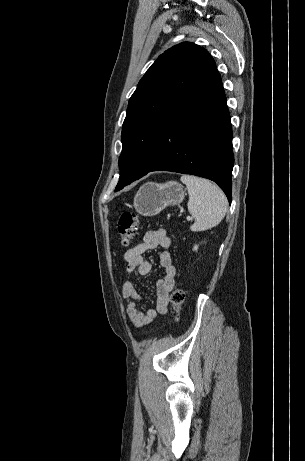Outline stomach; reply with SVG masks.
<instances>
[{
  "label": "stomach",
  "mask_w": 305,
  "mask_h": 461,
  "mask_svg": "<svg viewBox=\"0 0 305 461\" xmlns=\"http://www.w3.org/2000/svg\"><path fill=\"white\" fill-rule=\"evenodd\" d=\"M185 197L181 184L170 181L164 184L148 182L140 187L134 197V208L143 216H154L167 206L180 204Z\"/></svg>",
  "instance_id": "stomach-1"
}]
</instances>
